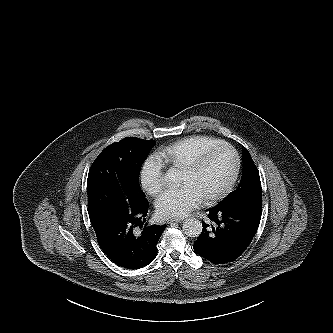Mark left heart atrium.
<instances>
[{"instance_id":"left-heart-atrium-1","label":"left heart atrium","mask_w":333,"mask_h":333,"mask_svg":"<svg viewBox=\"0 0 333 333\" xmlns=\"http://www.w3.org/2000/svg\"><path fill=\"white\" fill-rule=\"evenodd\" d=\"M204 198L191 185L169 188L156 200L157 212L165 218L184 217L201 205Z\"/></svg>"}]
</instances>
